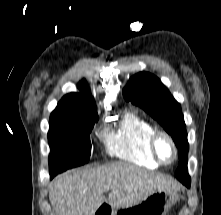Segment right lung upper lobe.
I'll return each mask as SVG.
<instances>
[{"label":"right lung upper lobe","instance_id":"obj_1","mask_svg":"<svg viewBox=\"0 0 221 215\" xmlns=\"http://www.w3.org/2000/svg\"><path fill=\"white\" fill-rule=\"evenodd\" d=\"M80 93H70L65 95L58 103L57 107H65L77 104L95 105L94 98L90 95L87 82L82 80L78 84Z\"/></svg>","mask_w":221,"mask_h":215}]
</instances>
